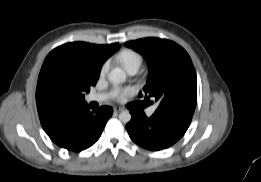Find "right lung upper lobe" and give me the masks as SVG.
<instances>
[{"mask_svg": "<svg viewBox=\"0 0 261 182\" xmlns=\"http://www.w3.org/2000/svg\"><path fill=\"white\" fill-rule=\"evenodd\" d=\"M118 49V43L74 42L48 54L36 88L38 114L45 132L54 128L67 112L87 104L83 93L96 84L102 64Z\"/></svg>", "mask_w": 261, "mask_h": 182, "instance_id": "1", "label": "right lung upper lobe"}]
</instances>
